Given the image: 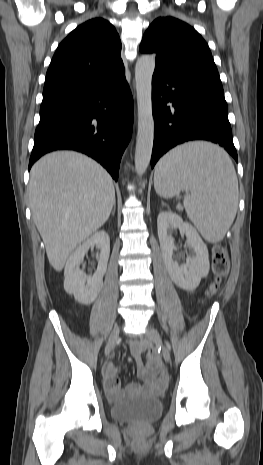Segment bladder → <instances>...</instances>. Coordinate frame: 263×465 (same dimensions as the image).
Here are the masks:
<instances>
[{
    "instance_id": "obj_1",
    "label": "bladder",
    "mask_w": 263,
    "mask_h": 465,
    "mask_svg": "<svg viewBox=\"0 0 263 465\" xmlns=\"http://www.w3.org/2000/svg\"><path fill=\"white\" fill-rule=\"evenodd\" d=\"M162 410L163 403L159 397L139 394L113 404L111 416L124 422L150 423L160 417Z\"/></svg>"
}]
</instances>
